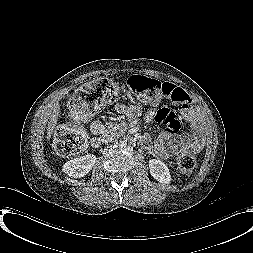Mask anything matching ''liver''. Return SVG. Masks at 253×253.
I'll return each instance as SVG.
<instances>
[{
  "label": "liver",
  "instance_id": "liver-1",
  "mask_svg": "<svg viewBox=\"0 0 253 253\" xmlns=\"http://www.w3.org/2000/svg\"><path fill=\"white\" fill-rule=\"evenodd\" d=\"M59 104H56L53 106L52 111L50 113V119L48 122V127H47V138L50 139L51 135L54 132V129L57 125L58 117H59Z\"/></svg>",
  "mask_w": 253,
  "mask_h": 253
}]
</instances>
